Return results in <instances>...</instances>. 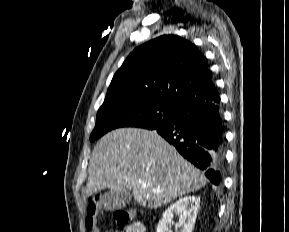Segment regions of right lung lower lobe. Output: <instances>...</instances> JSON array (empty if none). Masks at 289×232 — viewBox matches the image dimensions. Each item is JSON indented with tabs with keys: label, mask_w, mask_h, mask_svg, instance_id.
<instances>
[{
	"label": "right lung lower lobe",
	"mask_w": 289,
	"mask_h": 232,
	"mask_svg": "<svg viewBox=\"0 0 289 232\" xmlns=\"http://www.w3.org/2000/svg\"><path fill=\"white\" fill-rule=\"evenodd\" d=\"M219 97L177 108L176 117L155 128L165 140L215 185L224 164V135Z\"/></svg>",
	"instance_id": "98d812e1"
}]
</instances>
